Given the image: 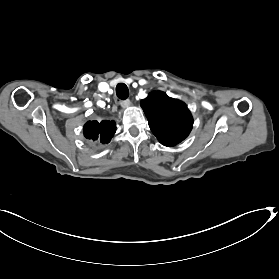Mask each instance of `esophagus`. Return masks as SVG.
I'll return each mask as SVG.
<instances>
[{"label":"esophagus","mask_w":279,"mask_h":279,"mask_svg":"<svg viewBox=\"0 0 279 279\" xmlns=\"http://www.w3.org/2000/svg\"><path fill=\"white\" fill-rule=\"evenodd\" d=\"M129 105H130V100L129 99L122 100L121 106L123 108H127Z\"/></svg>","instance_id":"34e87169"}]
</instances>
